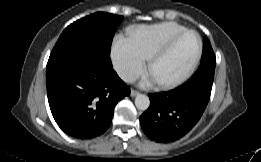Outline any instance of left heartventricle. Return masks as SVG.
<instances>
[{
  "label": "left heart ventricle",
  "instance_id": "1",
  "mask_svg": "<svg viewBox=\"0 0 261 162\" xmlns=\"http://www.w3.org/2000/svg\"><path fill=\"white\" fill-rule=\"evenodd\" d=\"M198 48L194 34L179 38L171 49L151 67L149 74L155 81L171 80L182 74L192 62Z\"/></svg>",
  "mask_w": 261,
  "mask_h": 162
}]
</instances>
